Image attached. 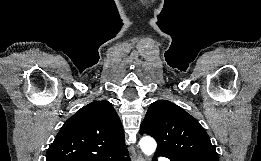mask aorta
<instances>
[{"label": "aorta", "instance_id": "762f6f07", "mask_svg": "<svg viewBox=\"0 0 261 161\" xmlns=\"http://www.w3.org/2000/svg\"><path fill=\"white\" fill-rule=\"evenodd\" d=\"M140 148L147 156L152 155L156 150V142L150 136L143 137L139 142Z\"/></svg>", "mask_w": 261, "mask_h": 161}]
</instances>
